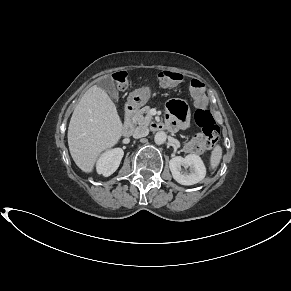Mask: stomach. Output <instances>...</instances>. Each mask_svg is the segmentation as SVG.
I'll use <instances>...</instances> for the list:
<instances>
[{"mask_svg":"<svg viewBox=\"0 0 291 291\" xmlns=\"http://www.w3.org/2000/svg\"><path fill=\"white\" fill-rule=\"evenodd\" d=\"M151 97V89L149 87H142L134 90L128 97V103L140 107L147 103Z\"/></svg>","mask_w":291,"mask_h":291,"instance_id":"1","label":"stomach"}]
</instances>
